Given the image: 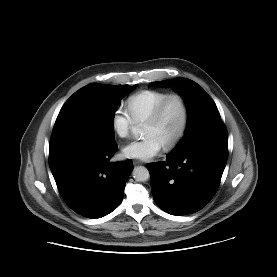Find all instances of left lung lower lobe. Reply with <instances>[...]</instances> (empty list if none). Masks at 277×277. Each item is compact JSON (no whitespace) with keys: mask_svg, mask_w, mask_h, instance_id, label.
<instances>
[{"mask_svg":"<svg viewBox=\"0 0 277 277\" xmlns=\"http://www.w3.org/2000/svg\"><path fill=\"white\" fill-rule=\"evenodd\" d=\"M226 128L202 133L166 162L148 163L156 204L172 215L195 213L215 195L228 157Z\"/></svg>","mask_w":277,"mask_h":277,"instance_id":"left-lung-lower-lobe-1","label":"left lung lower lobe"}]
</instances>
